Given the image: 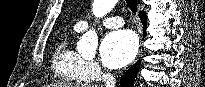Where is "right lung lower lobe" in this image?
<instances>
[{"label":"right lung lower lobe","instance_id":"98d812e1","mask_svg":"<svg viewBox=\"0 0 205 87\" xmlns=\"http://www.w3.org/2000/svg\"><path fill=\"white\" fill-rule=\"evenodd\" d=\"M140 20L143 24V31L145 37L146 32V15L144 11L139 12ZM140 62H137L134 66H132L128 71H126L125 75L122 76L120 85L121 87H132L134 79L136 77L137 71L139 69Z\"/></svg>","mask_w":205,"mask_h":87}]
</instances>
